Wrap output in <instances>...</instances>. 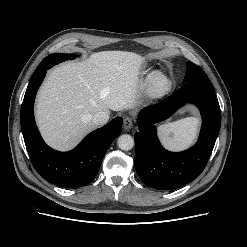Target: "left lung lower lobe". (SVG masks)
I'll return each mask as SVG.
<instances>
[{
  "label": "left lung lower lobe",
  "instance_id": "1",
  "mask_svg": "<svg viewBox=\"0 0 247 247\" xmlns=\"http://www.w3.org/2000/svg\"><path fill=\"white\" fill-rule=\"evenodd\" d=\"M187 102L198 106L202 114L199 139L186 151L169 152L161 146L154 124ZM138 121L141 126L134 135L136 171L147 186L172 190L194 180L204 170L220 130L221 110L212 85L191 82L163 101L145 107Z\"/></svg>",
  "mask_w": 247,
  "mask_h": 247
}]
</instances>
